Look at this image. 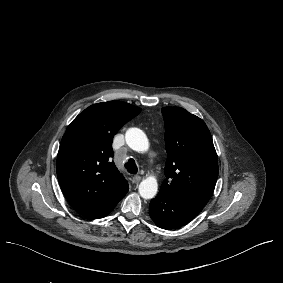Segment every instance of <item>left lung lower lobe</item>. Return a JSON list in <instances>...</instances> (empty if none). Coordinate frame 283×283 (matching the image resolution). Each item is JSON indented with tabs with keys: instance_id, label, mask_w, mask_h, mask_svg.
<instances>
[{
	"instance_id": "1",
	"label": "left lung lower lobe",
	"mask_w": 283,
	"mask_h": 283,
	"mask_svg": "<svg viewBox=\"0 0 283 283\" xmlns=\"http://www.w3.org/2000/svg\"><path fill=\"white\" fill-rule=\"evenodd\" d=\"M205 205L194 200L159 192L151 200L149 215L163 229H173L189 223Z\"/></svg>"
}]
</instances>
